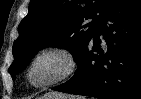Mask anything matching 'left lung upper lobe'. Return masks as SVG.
I'll use <instances>...</instances> for the list:
<instances>
[{"label":"left lung upper lobe","instance_id":"obj_1","mask_svg":"<svg viewBox=\"0 0 141 99\" xmlns=\"http://www.w3.org/2000/svg\"><path fill=\"white\" fill-rule=\"evenodd\" d=\"M117 0H31L14 42L12 78L21 72L41 49H68L78 61L88 46L103 15ZM92 22L87 23L89 19Z\"/></svg>","mask_w":141,"mask_h":99}]
</instances>
